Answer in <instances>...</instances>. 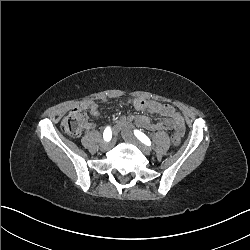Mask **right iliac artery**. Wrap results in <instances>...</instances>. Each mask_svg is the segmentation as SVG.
Instances as JSON below:
<instances>
[{"label":"right iliac artery","instance_id":"obj_1","mask_svg":"<svg viewBox=\"0 0 250 250\" xmlns=\"http://www.w3.org/2000/svg\"><path fill=\"white\" fill-rule=\"evenodd\" d=\"M103 138L105 141L109 142L112 138V131H111V128L110 127H107L105 130H104V133H103Z\"/></svg>","mask_w":250,"mask_h":250}]
</instances>
